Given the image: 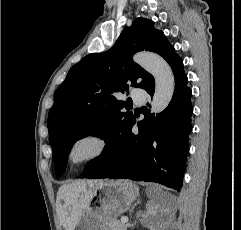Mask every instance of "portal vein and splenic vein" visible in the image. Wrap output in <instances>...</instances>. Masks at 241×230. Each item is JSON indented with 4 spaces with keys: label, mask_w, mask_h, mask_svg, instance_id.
<instances>
[{
    "label": "portal vein and splenic vein",
    "mask_w": 241,
    "mask_h": 230,
    "mask_svg": "<svg viewBox=\"0 0 241 230\" xmlns=\"http://www.w3.org/2000/svg\"><path fill=\"white\" fill-rule=\"evenodd\" d=\"M121 222L124 223V224L127 223L128 222V218L127 217H122L121 218Z\"/></svg>",
    "instance_id": "18ae733b"
}]
</instances>
